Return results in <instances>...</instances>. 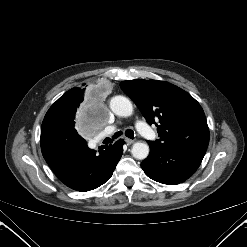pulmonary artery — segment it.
Listing matches in <instances>:
<instances>
[{"mask_svg": "<svg viewBox=\"0 0 247 247\" xmlns=\"http://www.w3.org/2000/svg\"><path fill=\"white\" fill-rule=\"evenodd\" d=\"M137 130L146 138L151 139L153 137L152 131L148 128V126L142 122L138 121L136 123ZM114 130V126L107 127L105 133H111Z\"/></svg>", "mask_w": 247, "mask_h": 247, "instance_id": "pulmonary-artery-1", "label": "pulmonary artery"}]
</instances>
